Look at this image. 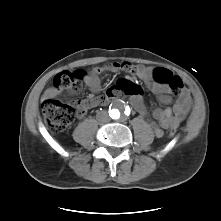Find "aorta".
Wrapping results in <instances>:
<instances>
[{
    "label": "aorta",
    "mask_w": 221,
    "mask_h": 221,
    "mask_svg": "<svg viewBox=\"0 0 221 221\" xmlns=\"http://www.w3.org/2000/svg\"><path fill=\"white\" fill-rule=\"evenodd\" d=\"M112 117L114 119H118L120 117V111L118 109H113L112 110Z\"/></svg>",
    "instance_id": "obj_1"
}]
</instances>
